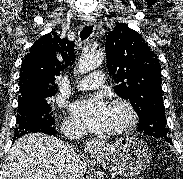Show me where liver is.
<instances>
[{
	"label": "liver",
	"mask_w": 183,
	"mask_h": 179,
	"mask_svg": "<svg viewBox=\"0 0 183 179\" xmlns=\"http://www.w3.org/2000/svg\"><path fill=\"white\" fill-rule=\"evenodd\" d=\"M71 147L44 133H29L11 147L3 179H68L67 162ZM83 174L87 164L80 155Z\"/></svg>",
	"instance_id": "1"
}]
</instances>
